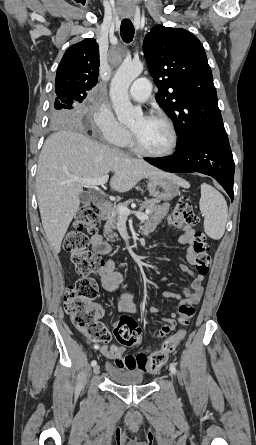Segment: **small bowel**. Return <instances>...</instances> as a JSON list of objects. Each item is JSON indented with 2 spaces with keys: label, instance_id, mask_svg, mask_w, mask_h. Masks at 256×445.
Instances as JSON below:
<instances>
[{
  "label": "small bowel",
  "instance_id": "small-bowel-1",
  "mask_svg": "<svg viewBox=\"0 0 256 445\" xmlns=\"http://www.w3.org/2000/svg\"><path fill=\"white\" fill-rule=\"evenodd\" d=\"M169 209L168 203H163L153 214L151 220L145 227V232L150 233L155 230V228L163 221L166 213ZM195 229L191 226L185 227V232L179 237V242L183 245H188L189 250L187 253V258L190 262L193 260V252L191 246L194 241ZM90 244L92 251L98 255H107L112 252V246L104 240L103 236L100 234H94L90 238ZM180 269L190 278V287H185L183 289V296L174 294L168 290L162 292L163 298H175L178 300L176 309L181 310L184 306H190L198 304L203 295L204 286L203 280L206 274L195 273L189 266L185 264L180 265ZM100 286L103 290L108 292H114L117 290L119 285L123 281V276L120 272L115 269V262L112 259L105 261L103 266L98 271ZM99 309V308H98ZM118 310L120 312L126 313H136L137 306L134 303V296L131 292H126L122 294L118 299ZM150 311L152 313H158L159 310L155 307H151ZM103 314V311L99 309V316ZM176 312H170L169 316L165 318V324L158 330L154 332L155 337H161L168 332L176 328ZM180 340L185 337V330H180L178 332ZM94 348L99 350L105 357L109 359H115L113 350L107 346L95 345ZM119 352L122 348L117 349ZM149 359L148 353H140L136 356L133 355H123L122 360H115V367L124 371H139L145 372L147 369V362ZM112 366V365H109ZM113 367V366H112Z\"/></svg>",
  "mask_w": 256,
  "mask_h": 445
}]
</instances>
